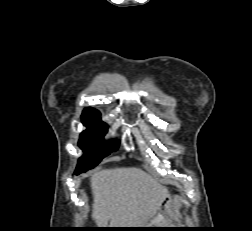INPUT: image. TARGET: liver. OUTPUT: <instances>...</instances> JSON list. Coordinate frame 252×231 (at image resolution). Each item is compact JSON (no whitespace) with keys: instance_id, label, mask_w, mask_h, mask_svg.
<instances>
[{"instance_id":"1","label":"liver","mask_w":252,"mask_h":231,"mask_svg":"<svg viewBox=\"0 0 252 231\" xmlns=\"http://www.w3.org/2000/svg\"><path fill=\"white\" fill-rule=\"evenodd\" d=\"M92 218L99 228H138L158 210L167 188L139 168H111L90 177Z\"/></svg>"}]
</instances>
